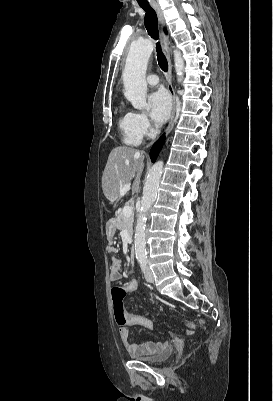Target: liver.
I'll use <instances>...</instances> for the list:
<instances>
[{
    "label": "liver",
    "instance_id": "6515ba94",
    "mask_svg": "<svg viewBox=\"0 0 273 401\" xmlns=\"http://www.w3.org/2000/svg\"><path fill=\"white\" fill-rule=\"evenodd\" d=\"M143 160L141 150L131 146H116L111 150L102 176V188L108 201L114 203L121 198L120 190L124 184H131L134 176L132 192H136L144 168Z\"/></svg>",
    "mask_w": 273,
    "mask_h": 401
}]
</instances>
